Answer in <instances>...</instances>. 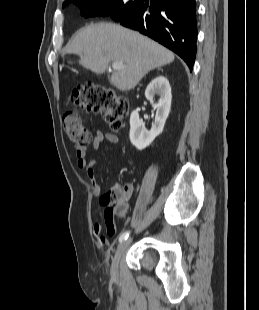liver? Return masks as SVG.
Instances as JSON below:
<instances>
[{"mask_svg":"<svg viewBox=\"0 0 259 310\" xmlns=\"http://www.w3.org/2000/svg\"><path fill=\"white\" fill-rule=\"evenodd\" d=\"M64 53L79 55V63L96 74L104 73L111 61L124 68L112 74L110 83L122 91L136 87L151 70L174 61V54L136 31L112 23H99L81 29Z\"/></svg>","mask_w":259,"mask_h":310,"instance_id":"6515ba94","label":"liver"}]
</instances>
